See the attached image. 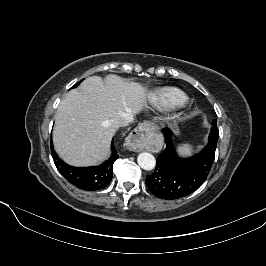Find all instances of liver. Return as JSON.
Segmentation results:
<instances>
[{"label":"liver","instance_id":"obj_1","mask_svg":"<svg viewBox=\"0 0 266 266\" xmlns=\"http://www.w3.org/2000/svg\"><path fill=\"white\" fill-rule=\"evenodd\" d=\"M146 87L109 74L86 78L69 91L55 114L56 151L74 166L102 162L110 154L115 133L111 120L123 113L136 115L146 104Z\"/></svg>","mask_w":266,"mask_h":266}]
</instances>
